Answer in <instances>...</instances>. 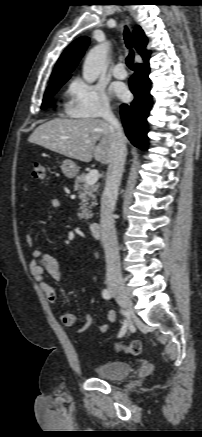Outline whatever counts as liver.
Returning a JSON list of instances; mask_svg holds the SVG:
<instances>
[{
    "label": "liver",
    "mask_w": 202,
    "mask_h": 437,
    "mask_svg": "<svg viewBox=\"0 0 202 437\" xmlns=\"http://www.w3.org/2000/svg\"><path fill=\"white\" fill-rule=\"evenodd\" d=\"M28 141L86 163L94 157L109 164L113 157L112 129L101 119H54L38 126Z\"/></svg>",
    "instance_id": "liver-1"
}]
</instances>
